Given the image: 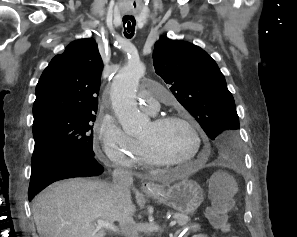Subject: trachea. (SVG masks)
<instances>
[{"label": "trachea", "instance_id": "obj_1", "mask_svg": "<svg viewBox=\"0 0 297 237\" xmlns=\"http://www.w3.org/2000/svg\"><path fill=\"white\" fill-rule=\"evenodd\" d=\"M136 21L134 18L123 17L124 35L127 38L134 36Z\"/></svg>", "mask_w": 297, "mask_h": 237}]
</instances>
